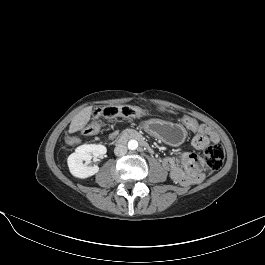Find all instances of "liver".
Listing matches in <instances>:
<instances>
[{"instance_id": "obj_1", "label": "liver", "mask_w": 265, "mask_h": 265, "mask_svg": "<svg viewBox=\"0 0 265 265\" xmlns=\"http://www.w3.org/2000/svg\"><path fill=\"white\" fill-rule=\"evenodd\" d=\"M160 111H166L164 107H159ZM173 113V111H168ZM92 115V106L85 107L77 115H75L70 123L69 133L82 130L89 122Z\"/></svg>"}]
</instances>
